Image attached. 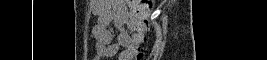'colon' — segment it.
Instances as JSON below:
<instances>
[{
	"instance_id": "colon-1",
	"label": "colon",
	"mask_w": 267,
	"mask_h": 60,
	"mask_svg": "<svg viewBox=\"0 0 267 60\" xmlns=\"http://www.w3.org/2000/svg\"><path fill=\"white\" fill-rule=\"evenodd\" d=\"M132 11V15L137 27L144 32L149 30V16L153 10V1L151 0H126ZM135 56L140 58L143 56V51L139 47L136 50Z\"/></svg>"
}]
</instances>
